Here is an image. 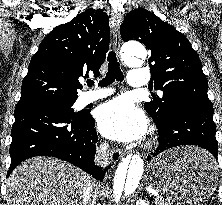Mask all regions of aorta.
Wrapping results in <instances>:
<instances>
[{
    "mask_svg": "<svg viewBox=\"0 0 222 205\" xmlns=\"http://www.w3.org/2000/svg\"><path fill=\"white\" fill-rule=\"evenodd\" d=\"M147 56L145 47L137 42L127 43L123 47L122 59L129 66H139ZM144 173V161L140 155H128L118 165L111 188L112 203L118 205L133 195Z\"/></svg>",
    "mask_w": 222,
    "mask_h": 205,
    "instance_id": "1",
    "label": "aorta"
}]
</instances>
